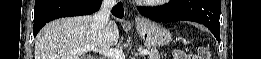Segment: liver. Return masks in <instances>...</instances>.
<instances>
[{
	"label": "liver",
	"mask_w": 261,
	"mask_h": 59,
	"mask_svg": "<svg viewBox=\"0 0 261 59\" xmlns=\"http://www.w3.org/2000/svg\"><path fill=\"white\" fill-rule=\"evenodd\" d=\"M92 22V16H78L46 24L36 38L35 59H85L75 50L85 46L104 50L117 45L119 29L114 21L102 30L93 28Z\"/></svg>",
	"instance_id": "1"
}]
</instances>
